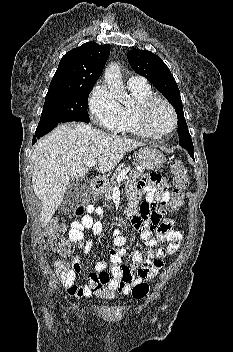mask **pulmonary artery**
Masks as SVG:
<instances>
[{"instance_id":"obj_1","label":"pulmonary artery","mask_w":233,"mask_h":352,"mask_svg":"<svg viewBox=\"0 0 233 352\" xmlns=\"http://www.w3.org/2000/svg\"><path fill=\"white\" fill-rule=\"evenodd\" d=\"M128 85H143L146 84V81L143 77L139 75L130 76L127 80Z\"/></svg>"}]
</instances>
